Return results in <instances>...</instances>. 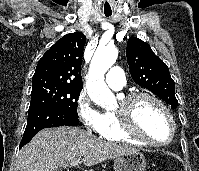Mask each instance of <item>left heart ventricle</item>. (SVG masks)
Instances as JSON below:
<instances>
[{
  "label": "left heart ventricle",
  "mask_w": 199,
  "mask_h": 171,
  "mask_svg": "<svg viewBox=\"0 0 199 171\" xmlns=\"http://www.w3.org/2000/svg\"><path fill=\"white\" fill-rule=\"evenodd\" d=\"M134 116L138 129L149 139L157 142L167 141L171 127L164 111L152 100L139 99L134 107Z\"/></svg>",
  "instance_id": "obj_1"
}]
</instances>
